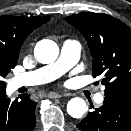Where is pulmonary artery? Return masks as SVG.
I'll use <instances>...</instances> for the list:
<instances>
[{"mask_svg": "<svg viewBox=\"0 0 131 131\" xmlns=\"http://www.w3.org/2000/svg\"><path fill=\"white\" fill-rule=\"evenodd\" d=\"M80 52L81 45L78 41L65 40L61 47L60 56L55 62L35 71L16 75L12 79L13 87L34 86L57 79L78 62ZM103 99V92H98L94 96V100L98 104L102 103Z\"/></svg>", "mask_w": 131, "mask_h": 131, "instance_id": "e3ab8cb5", "label": "pulmonary artery"}]
</instances>
